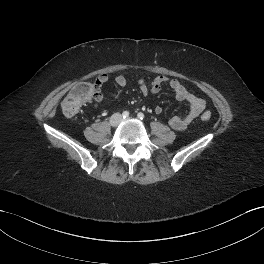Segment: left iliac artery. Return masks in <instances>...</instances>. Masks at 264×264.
Returning a JSON list of instances; mask_svg holds the SVG:
<instances>
[{"mask_svg":"<svg viewBox=\"0 0 264 264\" xmlns=\"http://www.w3.org/2000/svg\"><path fill=\"white\" fill-rule=\"evenodd\" d=\"M137 116H138V118H139V119H141V120H143V119H144V114H143V113H141V112H140V113H138V115H137Z\"/></svg>","mask_w":264,"mask_h":264,"instance_id":"1","label":"left iliac artery"}]
</instances>
